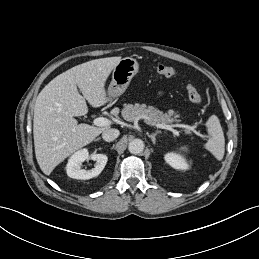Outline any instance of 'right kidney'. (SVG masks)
<instances>
[{
    "label": "right kidney",
    "instance_id": "right-kidney-1",
    "mask_svg": "<svg viewBox=\"0 0 259 259\" xmlns=\"http://www.w3.org/2000/svg\"><path fill=\"white\" fill-rule=\"evenodd\" d=\"M92 159L96 161L94 168L85 170L81 168L82 163L85 160ZM108 157L104 154H92L89 155L87 149H81L75 152L69 159L66 171L67 175L74 179L88 180L98 176L104 169Z\"/></svg>",
    "mask_w": 259,
    "mask_h": 259
}]
</instances>
